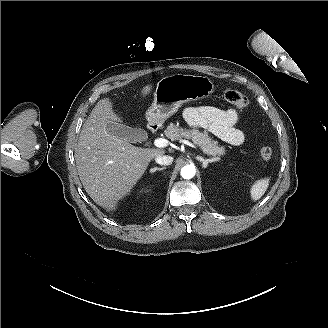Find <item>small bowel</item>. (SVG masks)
Segmentation results:
<instances>
[{
    "instance_id": "small-bowel-1",
    "label": "small bowel",
    "mask_w": 328,
    "mask_h": 328,
    "mask_svg": "<svg viewBox=\"0 0 328 328\" xmlns=\"http://www.w3.org/2000/svg\"><path fill=\"white\" fill-rule=\"evenodd\" d=\"M184 118L194 128L205 129L231 145H241L245 134L236 125L240 113L236 109L223 110L214 106L202 105L188 107L184 110Z\"/></svg>"
}]
</instances>
